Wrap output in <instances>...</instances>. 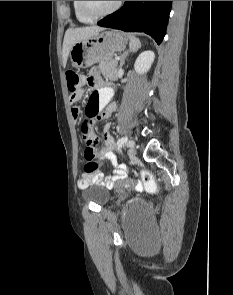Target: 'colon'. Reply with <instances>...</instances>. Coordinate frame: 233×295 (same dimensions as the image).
<instances>
[{
	"instance_id": "5ec220e1",
	"label": "colon",
	"mask_w": 233,
	"mask_h": 295,
	"mask_svg": "<svg viewBox=\"0 0 233 295\" xmlns=\"http://www.w3.org/2000/svg\"><path fill=\"white\" fill-rule=\"evenodd\" d=\"M67 86L70 91L71 97H76L80 93L84 92V85L86 83L85 78L75 71H68L66 73ZM82 136L86 146L85 157V172L87 174L95 172L101 162L102 156L101 148L99 147L98 138L91 132L89 124L86 122L82 125ZM142 180L145 188L150 192H156L158 189L157 182L153 174L148 170L141 172Z\"/></svg>"
}]
</instances>
